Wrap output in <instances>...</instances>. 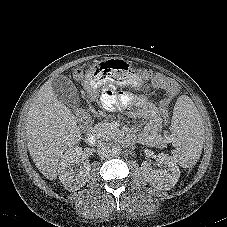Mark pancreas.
Instances as JSON below:
<instances>
[{"label":"pancreas","mask_w":227,"mask_h":227,"mask_svg":"<svg viewBox=\"0 0 227 227\" xmlns=\"http://www.w3.org/2000/svg\"><path fill=\"white\" fill-rule=\"evenodd\" d=\"M93 133L98 137L104 140H110L115 136V130L112 128V125L105 123H98L94 126Z\"/></svg>","instance_id":"1"}]
</instances>
